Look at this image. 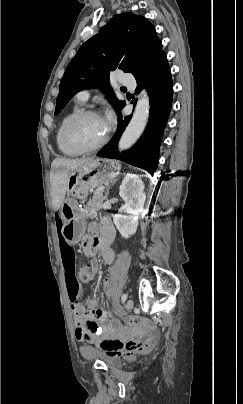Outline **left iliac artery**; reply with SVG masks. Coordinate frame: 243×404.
<instances>
[{
  "mask_svg": "<svg viewBox=\"0 0 243 404\" xmlns=\"http://www.w3.org/2000/svg\"><path fill=\"white\" fill-rule=\"evenodd\" d=\"M126 299H127V294L124 293V294L122 295V297H121V302L124 303V302L126 301Z\"/></svg>",
  "mask_w": 243,
  "mask_h": 404,
  "instance_id": "1",
  "label": "left iliac artery"
}]
</instances>
